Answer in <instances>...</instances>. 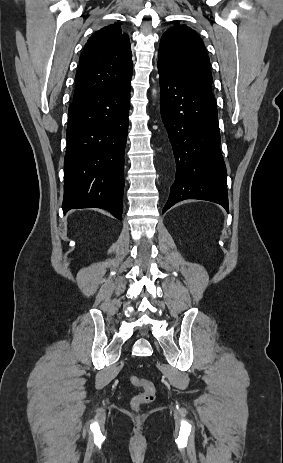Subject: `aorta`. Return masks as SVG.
Instances as JSON below:
<instances>
[{
	"mask_svg": "<svg viewBox=\"0 0 283 463\" xmlns=\"http://www.w3.org/2000/svg\"><path fill=\"white\" fill-rule=\"evenodd\" d=\"M156 94H157V91H156L155 89H153V90H152V95H153V96H156Z\"/></svg>",
	"mask_w": 283,
	"mask_h": 463,
	"instance_id": "aorta-1",
	"label": "aorta"
}]
</instances>
